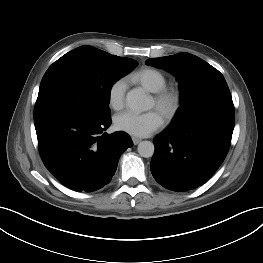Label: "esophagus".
Returning a JSON list of instances; mask_svg holds the SVG:
<instances>
[{"label":"esophagus","mask_w":263,"mask_h":263,"mask_svg":"<svg viewBox=\"0 0 263 263\" xmlns=\"http://www.w3.org/2000/svg\"><path fill=\"white\" fill-rule=\"evenodd\" d=\"M132 141H133V144H134V145H137L138 143L141 142V139L138 138V137H132Z\"/></svg>","instance_id":"obj_1"}]
</instances>
